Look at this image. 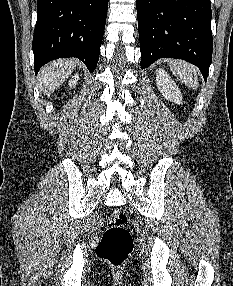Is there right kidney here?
<instances>
[{
    "label": "right kidney",
    "instance_id": "1",
    "mask_svg": "<svg viewBox=\"0 0 233 286\" xmlns=\"http://www.w3.org/2000/svg\"><path fill=\"white\" fill-rule=\"evenodd\" d=\"M79 79V76L78 74L74 75L72 77V79L69 81V86L72 88V87H75V85L77 84V81Z\"/></svg>",
    "mask_w": 233,
    "mask_h": 286
}]
</instances>
